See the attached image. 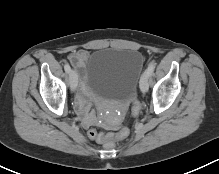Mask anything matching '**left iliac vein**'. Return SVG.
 <instances>
[{
  "label": "left iliac vein",
  "instance_id": "obj_1",
  "mask_svg": "<svg viewBox=\"0 0 219 174\" xmlns=\"http://www.w3.org/2000/svg\"><path fill=\"white\" fill-rule=\"evenodd\" d=\"M148 79H149L148 74L144 72L143 75L141 76L140 83H139L140 90L143 93L147 92L148 90Z\"/></svg>",
  "mask_w": 219,
  "mask_h": 174
}]
</instances>
